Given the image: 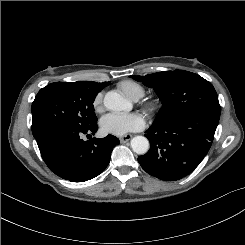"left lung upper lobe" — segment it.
<instances>
[{"label": "left lung upper lobe", "instance_id": "1", "mask_svg": "<svg viewBox=\"0 0 245 245\" xmlns=\"http://www.w3.org/2000/svg\"><path fill=\"white\" fill-rule=\"evenodd\" d=\"M130 77L153 88L162 101L152 126H163L194 114L220 118L217 93L212 84L198 74L175 70Z\"/></svg>", "mask_w": 245, "mask_h": 245}]
</instances>
